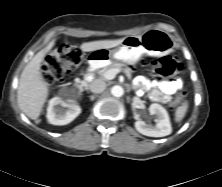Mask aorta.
Masks as SVG:
<instances>
[{"instance_id": "obj_1", "label": "aorta", "mask_w": 222, "mask_h": 187, "mask_svg": "<svg viewBox=\"0 0 222 187\" xmlns=\"http://www.w3.org/2000/svg\"><path fill=\"white\" fill-rule=\"evenodd\" d=\"M111 94L114 97H121L124 94V90L121 86L115 85L111 88Z\"/></svg>"}]
</instances>
